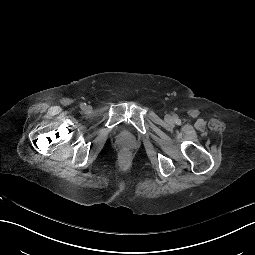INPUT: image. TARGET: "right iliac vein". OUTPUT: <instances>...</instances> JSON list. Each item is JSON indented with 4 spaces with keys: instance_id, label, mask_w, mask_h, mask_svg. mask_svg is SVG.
Masks as SVG:
<instances>
[{
    "instance_id": "right-iliac-vein-1",
    "label": "right iliac vein",
    "mask_w": 255,
    "mask_h": 255,
    "mask_svg": "<svg viewBox=\"0 0 255 255\" xmlns=\"http://www.w3.org/2000/svg\"><path fill=\"white\" fill-rule=\"evenodd\" d=\"M85 111H86V112H89V111H90V107H86V108H85Z\"/></svg>"
}]
</instances>
